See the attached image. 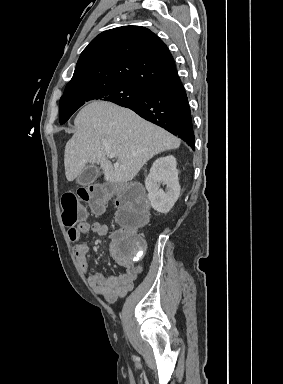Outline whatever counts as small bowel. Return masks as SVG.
<instances>
[{"label": "small bowel", "instance_id": "c3829d8e", "mask_svg": "<svg viewBox=\"0 0 283 384\" xmlns=\"http://www.w3.org/2000/svg\"><path fill=\"white\" fill-rule=\"evenodd\" d=\"M90 232L99 236H106L109 233V228L107 225L99 222H81L68 230V236L71 241L76 242L74 255L79 266L86 273L90 287L107 302L113 303L133 289L134 281L142 272V267L136 265L134 261L123 258L119 254L115 244L111 243L109 248L110 254L123 268V273L111 276H105L102 273H91L87 260L88 246L85 243L79 242L82 235Z\"/></svg>", "mask_w": 283, "mask_h": 384}]
</instances>
